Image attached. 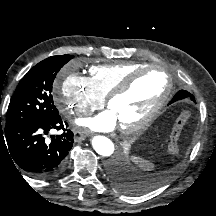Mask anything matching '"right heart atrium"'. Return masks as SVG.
Returning a JSON list of instances; mask_svg holds the SVG:
<instances>
[{"mask_svg":"<svg viewBox=\"0 0 216 216\" xmlns=\"http://www.w3.org/2000/svg\"><path fill=\"white\" fill-rule=\"evenodd\" d=\"M53 100L59 112L67 118L90 113L104 104V99L94 91L89 78L75 73L62 77L54 89Z\"/></svg>","mask_w":216,"mask_h":216,"instance_id":"d8ad5b80","label":"right heart atrium"}]
</instances>
